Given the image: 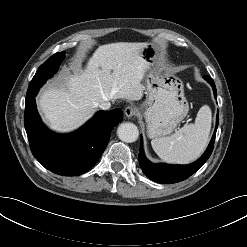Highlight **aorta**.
<instances>
[{
  "label": "aorta",
  "instance_id": "aorta-1",
  "mask_svg": "<svg viewBox=\"0 0 247 247\" xmlns=\"http://www.w3.org/2000/svg\"><path fill=\"white\" fill-rule=\"evenodd\" d=\"M118 138L126 143L135 142L139 136L137 126L130 122H125L119 125L117 129Z\"/></svg>",
  "mask_w": 247,
  "mask_h": 247
}]
</instances>
